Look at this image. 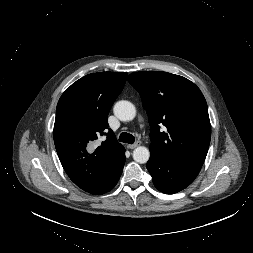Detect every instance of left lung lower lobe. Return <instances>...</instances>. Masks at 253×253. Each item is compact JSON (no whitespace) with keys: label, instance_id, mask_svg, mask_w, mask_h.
Returning <instances> with one entry per match:
<instances>
[{"label":"left lung lower lobe","instance_id":"0a47b994","mask_svg":"<svg viewBox=\"0 0 253 253\" xmlns=\"http://www.w3.org/2000/svg\"><path fill=\"white\" fill-rule=\"evenodd\" d=\"M146 168L152 176L155 187L166 194H174L185 189L199 173L171 163L152 150Z\"/></svg>","mask_w":253,"mask_h":253}]
</instances>
